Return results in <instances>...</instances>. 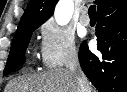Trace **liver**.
<instances>
[{
  "mask_svg": "<svg viewBox=\"0 0 127 92\" xmlns=\"http://www.w3.org/2000/svg\"><path fill=\"white\" fill-rule=\"evenodd\" d=\"M77 74L68 69H53L10 81L5 92H78ZM88 81V80H87ZM88 92H96L89 83Z\"/></svg>",
  "mask_w": 127,
  "mask_h": 92,
  "instance_id": "6515ba94",
  "label": "liver"
}]
</instances>
